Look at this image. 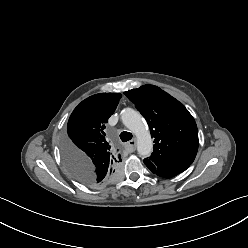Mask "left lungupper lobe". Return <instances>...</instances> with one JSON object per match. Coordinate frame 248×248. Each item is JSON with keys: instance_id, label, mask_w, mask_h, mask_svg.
<instances>
[{"instance_id": "obj_1", "label": "left lung upper lobe", "mask_w": 248, "mask_h": 248, "mask_svg": "<svg viewBox=\"0 0 248 248\" xmlns=\"http://www.w3.org/2000/svg\"><path fill=\"white\" fill-rule=\"evenodd\" d=\"M124 94L144 116L154 138L153 153L146 160L159 167L191 165L198 150V131L184 105L154 85Z\"/></svg>"}]
</instances>
